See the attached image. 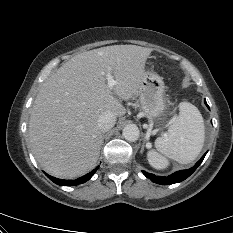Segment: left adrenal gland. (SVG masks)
<instances>
[{
    "instance_id": "left-adrenal-gland-1",
    "label": "left adrenal gland",
    "mask_w": 233,
    "mask_h": 233,
    "mask_svg": "<svg viewBox=\"0 0 233 233\" xmlns=\"http://www.w3.org/2000/svg\"><path fill=\"white\" fill-rule=\"evenodd\" d=\"M144 151V145L142 146V148H141V152H143Z\"/></svg>"
}]
</instances>
